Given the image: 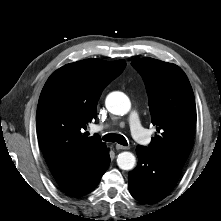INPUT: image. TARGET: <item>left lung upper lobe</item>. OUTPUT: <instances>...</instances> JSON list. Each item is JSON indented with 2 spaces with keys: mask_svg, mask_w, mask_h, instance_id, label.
I'll return each mask as SVG.
<instances>
[{
  "mask_svg": "<svg viewBox=\"0 0 221 221\" xmlns=\"http://www.w3.org/2000/svg\"><path fill=\"white\" fill-rule=\"evenodd\" d=\"M132 66L142 76L157 134L148 147L157 157L183 167L193 145L196 106L190 82L178 66L142 58Z\"/></svg>",
  "mask_w": 221,
  "mask_h": 221,
  "instance_id": "1",
  "label": "left lung upper lobe"
}]
</instances>
